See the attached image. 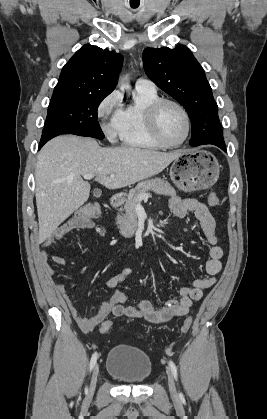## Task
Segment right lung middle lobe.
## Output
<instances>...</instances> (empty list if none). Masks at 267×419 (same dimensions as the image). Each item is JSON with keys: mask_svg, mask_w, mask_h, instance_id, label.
<instances>
[{"mask_svg": "<svg viewBox=\"0 0 267 419\" xmlns=\"http://www.w3.org/2000/svg\"><path fill=\"white\" fill-rule=\"evenodd\" d=\"M107 95L57 94L52 95L44 132L103 139L104 134L97 120V109Z\"/></svg>", "mask_w": 267, "mask_h": 419, "instance_id": "dd1d6c3e", "label": "right lung middle lobe"}]
</instances>
